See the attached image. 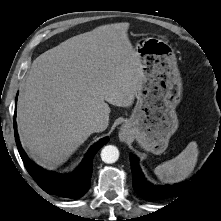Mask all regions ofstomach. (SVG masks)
Wrapping results in <instances>:
<instances>
[{
	"instance_id": "stomach-1",
	"label": "stomach",
	"mask_w": 221,
	"mask_h": 221,
	"mask_svg": "<svg viewBox=\"0 0 221 221\" xmlns=\"http://www.w3.org/2000/svg\"><path fill=\"white\" fill-rule=\"evenodd\" d=\"M142 79L136 105L121 128V134L135 139L146 151L162 154L178 128L176 107L182 98V80L173 48L158 38L136 43Z\"/></svg>"
}]
</instances>
